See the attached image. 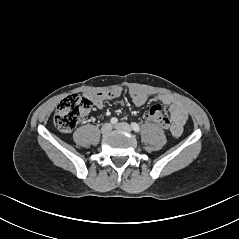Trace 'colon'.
<instances>
[{
	"instance_id": "obj_1",
	"label": "colon",
	"mask_w": 239,
	"mask_h": 239,
	"mask_svg": "<svg viewBox=\"0 0 239 239\" xmlns=\"http://www.w3.org/2000/svg\"><path fill=\"white\" fill-rule=\"evenodd\" d=\"M91 108L92 102L88 97L80 94L69 95L59 103L54 116V124L60 132L70 133L89 115ZM165 112L162 105L152 104L144 116L145 124L148 126L167 125Z\"/></svg>"
}]
</instances>
